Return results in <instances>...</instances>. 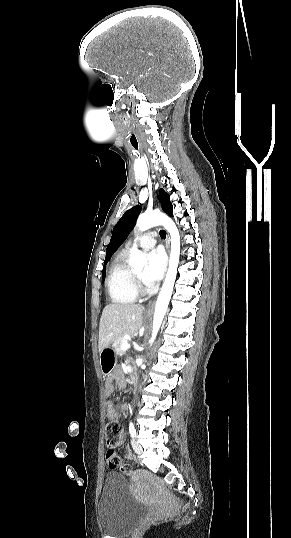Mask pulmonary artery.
<instances>
[{"label":"pulmonary artery","instance_id":"pulmonary-artery-1","mask_svg":"<svg viewBox=\"0 0 291 538\" xmlns=\"http://www.w3.org/2000/svg\"><path fill=\"white\" fill-rule=\"evenodd\" d=\"M156 244V234L154 232H148L137 238L136 242L129 243L127 249H131L133 246H137L143 249H151Z\"/></svg>","mask_w":291,"mask_h":538}]
</instances>
